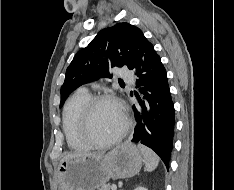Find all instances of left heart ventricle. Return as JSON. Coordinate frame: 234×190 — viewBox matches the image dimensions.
Wrapping results in <instances>:
<instances>
[{"label": "left heart ventricle", "mask_w": 234, "mask_h": 190, "mask_svg": "<svg viewBox=\"0 0 234 190\" xmlns=\"http://www.w3.org/2000/svg\"><path fill=\"white\" fill-rule=\"evenodd\" d=\"M124 122L123 113L116 104L103 102L93 111L90 131L95 140H108L123 128Z\"/></svg>", "instance_id": "b2bd125f"}]
</instances>
